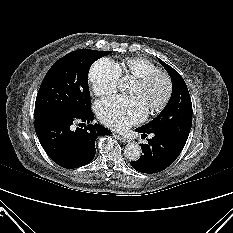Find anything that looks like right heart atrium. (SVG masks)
<instances>
[{"label": "right heart atrium", "instance_id": "d8ad5b80", "mask_svg": "<svg viewBox=\"0 0 233 233\" xmlns=\"http://www.w3.org/2000/svg\"><path fill=\"white\" fill-rule=\"evenodd\" d=\"M88 76L93 92L97 96H106L116 90L120 72L115 62L102 58L92 64Z\"/></svg>", "mask_w": 233, "mask_h": 233}]
</instances>
